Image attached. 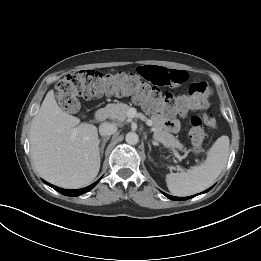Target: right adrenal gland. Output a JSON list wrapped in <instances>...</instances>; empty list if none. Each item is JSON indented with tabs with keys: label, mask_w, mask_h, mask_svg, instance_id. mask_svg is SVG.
<instances>
[{
	"label": "right adrenal gland",
	"mask_w": 261,
	"mask_h": 261,
	"mask_svg": "<svg viewBox=\"0 0 261 261\" xmlns=\"http://www.w3.org/2000/svg\"><path fill=\"white\" fill-rule=\"evenodd\" d=\"M109 140V137H104V138H102V139H99V143H101L100 144V147H99V150H100V153H101V157L103 156V153H104V148H105V146H106V143H107V141Z\"/></svg>",
	"instance_id": "right-adrenal-gland-1"
}]
</instances>
